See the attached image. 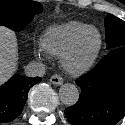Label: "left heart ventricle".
Returning a JSON list of instances; mask_svg holds the SVG:
<instances>
[{
	"label": "left heart ventricle",
	"mask_w": 125,
	"mask_h": 125,
	"mask_svg": "<svg viewBox=\"0 0 125 125\" xmlns=\"http://www.w3.org/2000/svg\"><path fill=\"white\" fill-rule=\"evenodd\" d=\"M98 44V35L95 31L86 32L79 41L73 56V62L79 64L84 62L94 51Z\"/></svg>",
	"instance_id": "obj_1"
}]
</instances>
